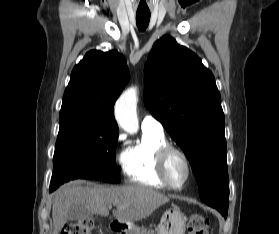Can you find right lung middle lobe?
<instances>
[{
	"label": "right lung middle lobe",
	"mask_w": 279,
	"mask_h": 234,
	"mask_svg": "<svg viewBox=\"0 0 279 234\" xmlns=\"http://www.w3.org/2000/svg\"><path fill=\"white\" fill-rule=\"evenodd\" d=\"M59 122L50 191L75 178L120 182L115 161L119 130L82 116L60 117Z\"/></svg>",
	"instance_id": "dd1d6c3e"
}]
</instances>
